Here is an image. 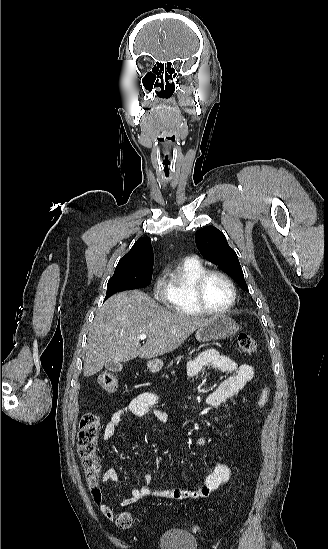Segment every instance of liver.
<instances>
[{
    "instance_id": "liver-1",
    "label": "liver",
    "mask_w": 328,
    "mask_h": 549,
    "mask_svg": "<svg viewBox=\"0 0 328 549\" xmlns=\"http://www.w3.org/2000/svg\"><path fill=\"white\" fill-rule=\"evenodd\" d=\"M208 321L171 313L143 291L117 293L97 311L89 329L83 375H96L107 361L124 363L171 353ZM140 335H147L143 347Z\"/></svg>"
}]
</instances>
